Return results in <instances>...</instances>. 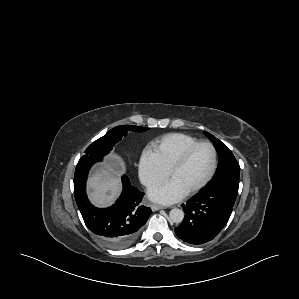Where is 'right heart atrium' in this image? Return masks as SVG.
Listing matches in <instances>:
<instances>
[{
	"instance_id": "obj_1",
	"label": "right heart atrium",
	"mask_w": 299,
	"mask_h": 299,
	"mask_svg": "<svg viewBox=\"0 0 299 299\" xmlns=\"http://www.w3.org/2000/svg\"><path fill=\"white\" fill-rule=\"evenodd\" d=\"M138 174L147 188L154 187L168 178V171L161 165L154 152L144 150L139 158Z\"/></svg>"
}]
</instances>
